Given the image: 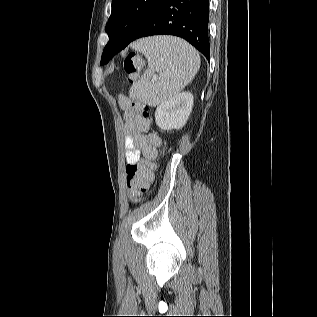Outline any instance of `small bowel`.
I'll list each match as a JSON object with an SVG mask.
<instances>
[{"label": "small bowel", "mask_w": 317, "mask_h": 317, "mask_svg": "<svg viewBox=\"0 0 317 317\" xmlns=\"http://www.w3.org/2000/svg\"><path fill=\"white\" fill-rule=\"evenodd\" d=\"M118 103L123 110L125 139V160L127 165L136 164L141 157L154 160L162 144L160 136L143 132L136 124L141 105L130 97L120 94Z\"/></svg>", "instance_id": "c3829d8e"}]
</instances>
